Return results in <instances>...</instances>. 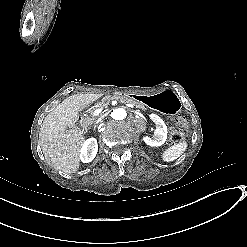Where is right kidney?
<instances>
[{"label": "right kidney", "instance_id": "obj_1", "mask_svg": "<svg viewBox=\"0 0 247 247\" xmlns=\"http://www.w3.org/2000/svg\"><path fill=\"white\" fill-rule=\"evenodd\" d=\"M98 152V143L94 137L88 138L82 145L80 151V160L83 163H89L93 161Z\"/></svg>", "mask_w": 247, "mask_h": 247}]
</instances>
